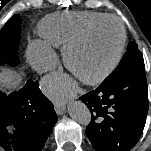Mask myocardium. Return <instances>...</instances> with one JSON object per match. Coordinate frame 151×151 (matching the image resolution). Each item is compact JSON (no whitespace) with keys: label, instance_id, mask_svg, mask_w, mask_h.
Wrapping results in <instances>:
<instances>
[{"label":"myocardium","instance_id":"myocardium-1","mask_svg":"<svg viewBox=\"0 0 151 151\" xmlns=\"http://www.w3.org/2000/svg\"><path fill=\"white\" fill-rule=\"evenodd\" d=\"M106 22H114L119 28L120 41H119L118 50L112 62L104 70H102L101 72L91 77H87V78L78 77L83 83L87 85H96V84L102 83L116 70V68L119 66L120 62L122 61L125 48H126V42H127V32H126V28L122 20L114 15L104 16L92 22L87 27H85L75 38L69 41L63 47V50H62L63 60L66 67L71 72L74 73V68L71 61L72 52L86 41V39L88 38V36L91 34V32L94 29H96L98 26Z\"/></svg>","mask_w":151,"mask_h":151}]
</instances>
